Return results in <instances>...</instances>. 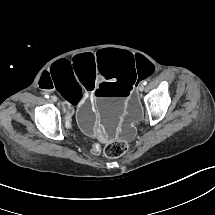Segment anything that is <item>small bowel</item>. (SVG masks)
Instances as JSON below:
<instances>
[{
	"mask_svg": "<svg viewBox=\"0 0 215 215\" xmlns=\"http://www.w3.org/2000/svg\"><path fill=\"white\" fill-rule=\"evenodd\" d=\"M94 150H96L97 152H99V151H100L99 146H98V145H95V146H94Z\"/></svg>",
	"mask_w": 215,
	"mask_h": 215,
	"instance_id": "1",
	"label": "small bowel"
}]
</instances>
